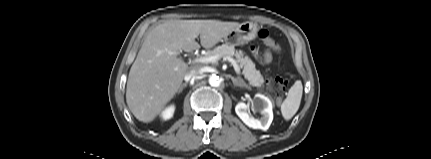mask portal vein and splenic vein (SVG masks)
<instances>
[{
	"label": "portal vein and splenic vein",
	"mask_w": 431,
	"mask_h": 159,
	"mask_svg": "<svg viewBox=\"0 0 431 159\" xmlns=\"http://www.w3.org/2000/svg\"><path fill=\"white\" fill-rule=\"evenodd\" d=\"M169 54H176V53L169 51ZM219 59L220 57L218 55H206L203 57H197L193 61L195 63H216ZM224 59L228 60L233 65L234 70L237 74H240V68L236 60H234L232 57H224Z\"/></svg>",
	"instance_id": "obj_1"
}]
</instances>
